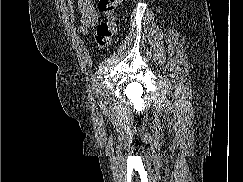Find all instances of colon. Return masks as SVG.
I'll use <instances>...</instances> for the list:
<instances>
[{
	"mask_svg": "<svg viewBox=\"0 0 243 182\" xmlns=\"http://www.w3.org/2000/svg\"><path fill=\"white\" fill-rule=\"evenodd\" d=\"M124 0H99L98 9L105 19L97 26L95 42L99 50L106 48L115 34V11Z\"/></svg>",
	"mask_w": 243,
	"mask_h": 182,
	"instance_id": "1",
	"label": "colon"
}]
</instances>
